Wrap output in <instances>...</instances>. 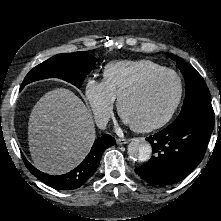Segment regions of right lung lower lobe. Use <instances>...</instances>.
<instances>
[{
	"label": "right lung lower lobe",
	"mask_w": 221,
	"mask_h": 221,
	"mask_svg": "<svg viewBox=\"0 0 221 221\" xmlns=\"http://www.w3.org/2000/svg\"><path fill=\"white\" fill-rule=\"evenodd\" d=\"M115 144V139L110 135H103L95 140L90 153L82 163L74 170L63 175H48L33 167L25 158H23L26 167L39 180L48 186L57 190H73L87 182L98 168L102 153L108 147Z\"/></svg>",
	"instance_id": "obj_1"
}]
</instances>
